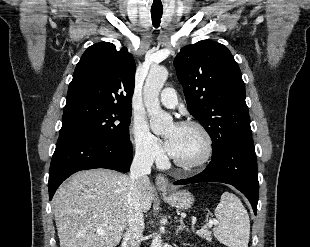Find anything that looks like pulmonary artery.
Instances as JSON below:
<instances>
[{"label": "pulmonary artery", "instance_id": "pulmonary-artery-1", "mask_svg": "<svg viewBox=\"0 0 310 247\" xmlns=\"http://www.w3.org/2000/svg\"><path fill=\"white\" fill-rule=\"evenodd\" d=\"M161 103L168 108H175L178 104L177 93L173 88H165L160 95Z\"/></svg>", "mask_w": 310, "mask_h": 247}]
</instances>
